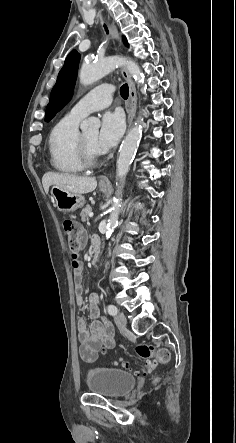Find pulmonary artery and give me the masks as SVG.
<instances>
[{
	"label": "pulmonary artery",
	"mask_w": 236,
	"mask_h": 443,
	"mask_svg": "<svg viewBox=\"0 0 236 443\" xmlns=\"http://www.w3.org/2000/svg\"><path fill=\"white\" fill-rule=\"evenodd\" d=\"M114 90L115 88L111 84H103L92 89L75 103L70 114L83 118L92 111L109 106Z\"/></svg>",
	"instance_id": "1"
}]
</instances>
